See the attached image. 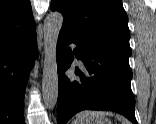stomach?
Instances as JSON below:
<instances>
[{
  "mask_svg": "<svg viewBox=\"0 0 156 124\" xmlns=\"http://www.w3.org/2000/svg\"><path fill=\"white\" fill-rule=\"evenodd\" d=\"M72 124H111V122L105 117H97L93 119L83 120L79 123H75L74 121Z\"/></svg>",
  "mask_w": 156,
  "mask_h": 124,
  "instance_id": "0dacf381",
  "label": "stomach"
}]
</instances>
